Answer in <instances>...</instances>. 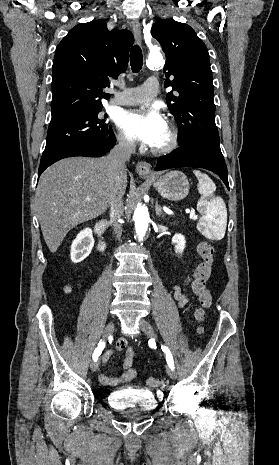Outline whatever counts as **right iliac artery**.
<instances>
[{
  "label": "right iliac artery",
  "mask_w": 279,
  "mask_h": 465,
  "mask_svg": "<svg viewBox=\"0 0 279 465\" xmlns=\"http://www.w3.org/2000/svg\"><path fill=\"white\" fill-rule=\"evenodd\" d=\"M105 347V342L101 341L99 342L98 344V347L95 349L94 353H93V360L96 361L99 357V355L102 353V350L104 349Z\"/></svg>",
  "instance_id": "obj_1"
}]
</instances>
